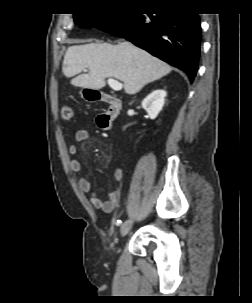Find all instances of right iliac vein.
Here are the masks:
<instances>
[{
  "mask_svg": "<svg viewBox=\"0 0 252 303\" xmlns=\"http://www.w3.org/2000/svg\"><path fill=\"white\" fill-rule=\"evenodd\" d=\"M132 226H133V220H131V219H128L124 223H122L121 229H120L121 236L122 237L126 236L129 233V231L131 230Z\"/></svg>",
  "mask_w": 252,
  "mask_h": 303,
  "instance_id": "63e3f726",
  "label": "right iliac vein"
}]
</instances>
